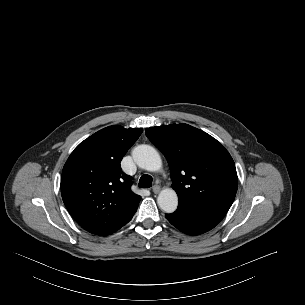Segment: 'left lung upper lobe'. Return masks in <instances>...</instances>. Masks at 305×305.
I'll list each match as a JSON object with an SVG mask.
<instances>
[{
  "label": "left lung upper lobe",
  "mask_w": 305,
  "mask_h": 305,
  "mask_svg": "<svg viewBox=\"0 0 305 305\" xmlns=\"http://www.w3.org/2000/svg\"><path fill=\"white\" fill-rule=\"evenodd\" d=\"M146 136L168 161L178 205H232L238 177L232 157L220 142L187 124L151 127Z\"/></svg>",
  "instance_id": "obj_1"
}]
</instances>
